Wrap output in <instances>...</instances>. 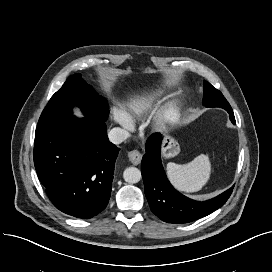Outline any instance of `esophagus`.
Segmentation results:
<instances>
[{"label": "esophagus", "mask_w": 272, "mask_h": 272, "mask_svg": "<svg viewBox=\"0 0 272 272\" xmlns=\"http://www.w3.org/2000/svg\"><path fill=\"white\" fill-rule=\"evenodd\" d=\"M129 160L134 165H138L141 162L142 154L138 150H132L128 153Z\"/></svg>", "instance_id": "esophagus-1"}]
</instances>
